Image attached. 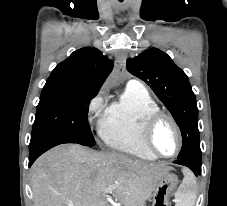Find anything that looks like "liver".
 <instances>
[{"mask_svg":"<svg viewBox=\"0 0 227 206\" xmlns=\"http://www.w3.org/2000/svg\"><path fill=\"white\" fill-rule=\"evenodd\" d=\"M171 170L115 152H99L78 144L59 145L31 168L34 206H108L113 192L124 206L149 199L158 181ZM114 185L111 192L105 190Z\"/></svg>","mask_w":227,"mask_h":206,"instance_id":"6515ba94","label":"liver"}]
</instances>
